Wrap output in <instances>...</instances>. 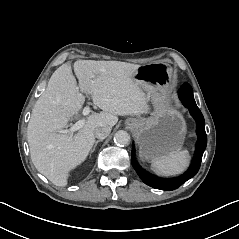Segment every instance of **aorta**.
Segmentation results:
<instances>
[{
	"instance_id": "762f6f07",
	"label": "aorta",
	"mask_w": 239,
	"mask_h": 239,
	"mask_svg": "<svg viewBox=\"0 0 239 239\" xmlns=\"http://www.w3.org/2000/svg\"><path fill=\"white\" fill-rule=\"evenodd\" d=\"M114 141L119 146H127L130 144V135L127 131L119 130L115 133Z\"/></svg>"
}]
</instances>
